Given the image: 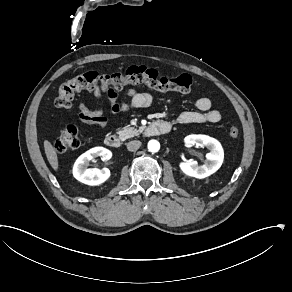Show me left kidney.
I'll return each instance as SVG.
<instances>
[{"label":"left kidney","mask_w":292,"mask_h":292,"mask_svg":"<svg viewBox=\"0 0 292 292\" xmlns=\"http://www.w3.org/2000/svg\"><path fill=\"white\" fill-rule=\"evenodd\" d=\"M186 143L208 148L205 163L198 165L197 162H179L180 170L187 176L204 179L218 171L223 163L224 154L221 144L214 138L205 135H189Z\"/></svg>","instance_id":"left-kidney-1"}]
</instances>
